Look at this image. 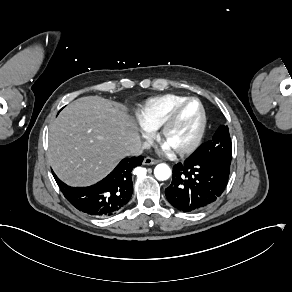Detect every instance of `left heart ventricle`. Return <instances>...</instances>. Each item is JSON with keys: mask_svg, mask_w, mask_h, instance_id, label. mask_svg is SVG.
Here are the masks:
<instances>
[{"mask_svg": "<svg viewBox=\"0 0 292 292\" xmlns=\"http://www.w3.org/2000/svg\"><path fill=\"white\" fill-rule=\"evenodd\" d=\"M198 117L199 107L197 103L188 104L171 125L167 134V141L174 146L187 143L194 133Z\"/></svg>", "mask_w": 292, "mask_h": 292, "instance_id": "obj_1", "label": "left heart ventricle"}]
</instances>
